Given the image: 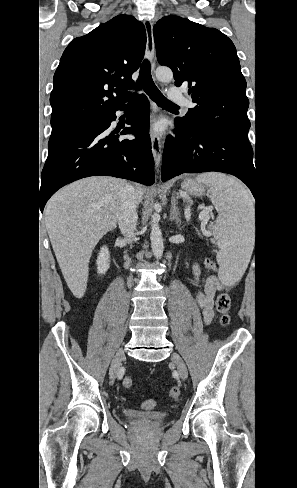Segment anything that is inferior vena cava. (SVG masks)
Returning <instances> with one entry per match:
<instances>
[{
    "instance_id": "1",
    "label": "inferior vena cava",
    "mask_w": 297,
    "mask_h": 488,
    "mask_svg": "<svg viewBox=\"0 0 297 488\" xmlns=\"http://www.w3.org/2000/svg\"><path fill=\"white\" fill-rule=\"evenodd\" d=\"M137 204L138 197L135 194L134 187L130 184H126L121 197L118 225L121 233L127 238L128 241H132L134 238V231L136 229L138 219L136 212Z\"/></svg>"
}]
</instances>
